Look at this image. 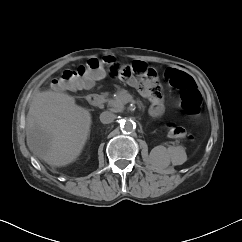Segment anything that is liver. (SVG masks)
Instances as JSON below:
<instances>
[{
  "label": "liver",
  "instance_id": "1",
  "mask_svg": "<svg viewBox=\"0 0 242 242\" xmlns=\"http://www.w3.org/2000/svg\"><path fill=\"white\" fill-rule=\"evenodd\" d=\"M91 123L89 110L77 105L73 96L38 91L26 116L28 148L50 166H66L81 154Z\"/></svg>",
  "mask_w": 242,
  "mask_h": 242
}]
</instances>
